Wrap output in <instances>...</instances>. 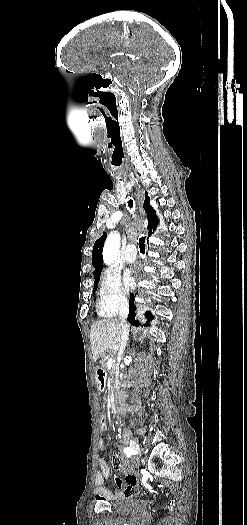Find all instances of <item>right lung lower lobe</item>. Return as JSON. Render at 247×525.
Returning <instances> with one entry per match:
<instances>
[{
  "label": "right lung lower lobe",
  "instance_id": "obj_1",
  "mask_svg": "<svg viewBox=\"0 0 247 525\" xmlns=\"http://www.w3.org/2000/svg\"><path fill=\"white\" fill-rule=\"evenodd\" d=\"M134 294H131L130 295V301H129V315H128V321L132 324H137V321H135L134 317H135V310H136V307L134 306ZM145 316L147 317L148 320H152L153 319V316L150 312H146Z\"/></svg>",
  "mask_w": 247,
  "mask_h": 525
}]
</instances>
